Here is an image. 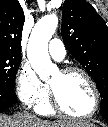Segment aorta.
<instances>
[{
	"instance_id": "obj_1",
	"label": "aorta",
	"mask_w": 108,
	"mask_h": 127,
	"mask_svg": "<svg viewBox=\"0 0 108 127\" xmlns=\"http://www.w3.org/2000/svg\"><path fill=\"white\" fill-rule=\"evenodd\" d=\"M58 26L55 14L46 15L34 26L28 46L27 57L41 80L47 81L56 67L51 63L48 54V42Z\"/></svg>"
}]
</instances>
